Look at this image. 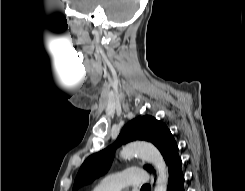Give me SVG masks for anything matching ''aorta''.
Listing matches in <instances>:
<instances>
[{
  "mask_svg": "<svg viewBox=\"0 0 245 191\" xmlns=\"http://www.w3.org/2000/svg\"><path fill=\"white\" fill-rule=\"evenodd\" d=\"M122 158L138 156L154 165L157 171V181L154 191H166L168 184V170L158 149L148 142L136 141L127 144L120 152Z\"/></svg>",
  "mask_w": 245,
  "mask_h": 191,
  "instance_id": "1",
  "label": "aorta"
}]
</instances>
